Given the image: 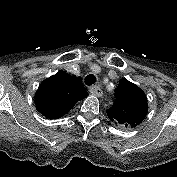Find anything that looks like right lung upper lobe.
Returning <instances> with one entry per match:
<instances>
[{
    "label": "right lung upper lobe",
    "instance_id": "cb5924a9",
    "mask_svg": "<svg viewBox=\"0 0 177 177\" xmlns=\"http://www.w3.org/2000/svg\"><path fill=\"white\" fill-rule=\"evenodd\" d=\"M88 96L80 79L64 71L44 80L35 95L37 110L48 119L68 113L76 102Z\"/></svg>",
    "mask_w": 177,
    "mask_h": 177
}]
</instances>
